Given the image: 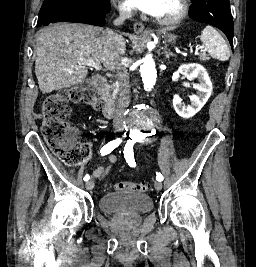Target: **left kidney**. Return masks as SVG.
I'll return each instance as SVG.
<instances>
[{"label":"left kidney","mask_w":256,"mask_h":267,"mask_svg":"<svg viewBox=\"0 0 256 267\" xmlns=\"http://www.w3.org/2000/svg\"><path fill=\"white\" fill-rule=\"evenodd\" d=\"M178 72L183 74L187 80H198L200 84H192L193 88L197 90L196 96H190L191 106H182V100L178 94L173 96V106L176 114L181 118H192L195 116L204 104H206L208 98L212 92V82L207 74L205 68L201 64H182L178 68Z\"/></svg>","instance_id":"left-kidney-1"}]
</instances>
